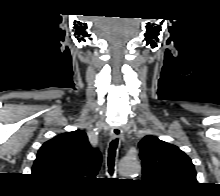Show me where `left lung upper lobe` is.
<instances>
[{"instance_id": "5c2ea615", "label": "left lung upper lobe", "mask_w": 220, "mask_h": 196, "mask_svg": "<svg viewBox=\"0 0 220 196\" xmlns=\"http://www.w3.org/2000/svg\"><path fill=\"white\" fill-rule=\"evenodd\" d=\"M143 181L166 194L181 193L197 183L191 159L177 146L145 136L139 142Z\"/></svg>"}]
</instances>
